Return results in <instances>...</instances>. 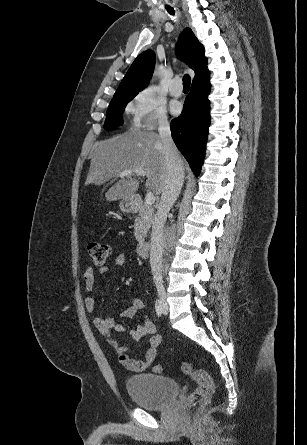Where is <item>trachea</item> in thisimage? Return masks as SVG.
<instances>
[{"label": "trachea", "instance_id": "trachea-1", "mask_svg": "<svg viewBox=\"0 0 307 445\" xmlns=\"http://www.w3.org/2000/svg\"><path fill=\"white\" fill-rule=\"evenodd\" d=\"M167 11L169 13H171L172 15L174 14V10L173 8L168 7ZM190 84H191V78L189 75H184L183 77V88L184 89H189L190 88Z\"/></svg>", "mask_w": 307, "mask_h": 445}]
</instances>
